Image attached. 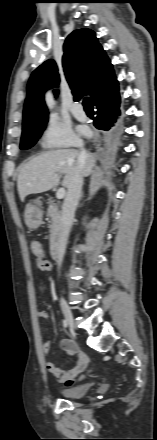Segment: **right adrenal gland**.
I'll list each match as a JSON object with an SVG mask.
<instances>
[{
    "instance_id": "1",
    "label": "right adrenal gland",
    "mask_w": 157,
    "mask_h": 440,
    "mask_svg": "<svg viewBox=\"0 0 157 440\" xmlns=\"http://www.w3.org/2000/svg\"><path fill=\"white\" fill-rule=\"evenodd\" d=\"M82 197H83V191L81 192V195H80V200L82 199Z\"/></svg>"
}]
</instances>
